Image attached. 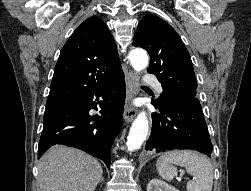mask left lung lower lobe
<instances>
[{
    "instance_id": "1",
    "label": "left lung lower lobe",
    "mask_w": 251,
    "mask_h": 191,
    "mask_svg": "<svg viewBox=\"0 0 251 191\" xmlns=\"http://www.w3.org/2000/svg\"><path fill=\"white\" fill-rule=\"evenodd\" d=\"M152 104L158 111L152 114L146 151L192 149L211 156L213 148L198 98H175L166 102L153 100Z\"/></svg>"
}]
</instances>
